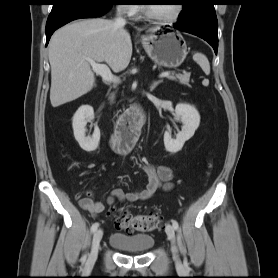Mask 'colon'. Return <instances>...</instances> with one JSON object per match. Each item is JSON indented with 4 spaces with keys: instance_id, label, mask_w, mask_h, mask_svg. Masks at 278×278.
Here are the masks:
<instances>
[{
    "instance_id": "colon-1",
    "label": "colon",
    "mask_w": 278,
    "mask_h": 278,
    "mask_svg": "<svg viewBox=\"0 0 278 278\" xmlns=\"http://www.w3.org/2000/svg\"><path fill=\"white\" fill-rule=\"evenodd\" d=\"M116 227L126 231L146 232L159 228L162 219L157 214L135 215L128 211H113Z\"/></svg>"
}]
</instances>
